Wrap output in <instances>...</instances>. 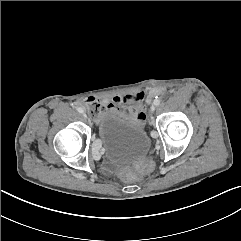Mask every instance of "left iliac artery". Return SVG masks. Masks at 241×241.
Masks as SVG:
<instances>
[{
  "label": "left iliac artery",
  "instance_id": "1",
  "mask_svg": "<svg viewBox=\"0 0 241 241\" xmlns=\"http://www.w3.org/2000/svg\"><path fill=\"white\" fill-rule=\"evenodd\" d=\"M160 104V99L158 97L154 100V105L158 106Z\"/></svg>",
  "mask_w": 241,
  "mask_h": 241
}]
</instances>
